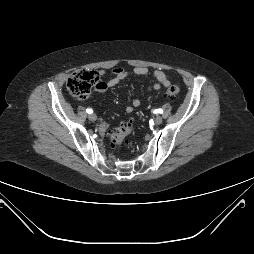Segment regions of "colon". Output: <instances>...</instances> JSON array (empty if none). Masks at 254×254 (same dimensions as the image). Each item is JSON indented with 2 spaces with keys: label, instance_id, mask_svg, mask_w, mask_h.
<instances>
[{
  "label": "colon",
  "instance_id": "colon-1",
  "mask_svg": "<svg viewBox=\"0 0 254 254\" xmlns=\"http://www.w3.org/2000/svg\"><path fill=\"white\" fill-rule=\"evenodd\" d=\"M100 86L98 72L95 71H77L72 73L67 80L69 92L78 99H86L92 89ZM180 92L179 87L170 86L167 88L165 95L168 98H176ZM134 131L131 121L124 122L121 126L110 133V139L115 149L121 148L128 143Z\"/></svg>",
  "mask_w": 254,
  "mask_h": 254
}]
</instances>
